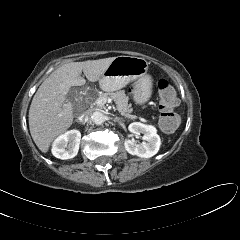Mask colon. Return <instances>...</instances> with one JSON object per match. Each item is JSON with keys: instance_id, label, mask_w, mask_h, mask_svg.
<instances>
[{"instance_id": "1", "label": "colon", "mask_w": 240, "mask_h": 240, "mask_svg": "<svg viewBox=\"0 0 240 240\" xmlns=\"http://www.w3.org/2000/svg\"><path fill=\"white\" fill-rule=\"evenodd\" d=\"M160 99V128L165 132L174 131L180 124V117L175 112L178 104V97L173 86L165 79L157 84Z\"/></svg>"}]
</instances>
